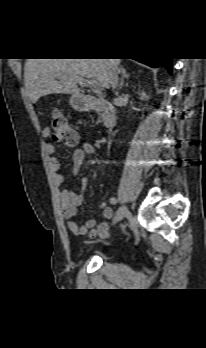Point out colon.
Segmentation results:
<instances>
[{"label": "colon", "mask_w": 206, "mask_h": 348, "mask_svg": "<svg viewBox=\"0 0 206 348\" xmlns=\"http://www.w3.org/2000/svg\"><path fill=\"white\" fill-rule=\"evenodd\" d=\"M50 137L54 141L69 145L77 142L76 131L69 125L65 116L59 110H54L51 113ZM107 233L106 223H101L97 228L92 230L93 235L106 236Z\"/></svg>", "instance_id": "5ec220e1"}]
</instances>
